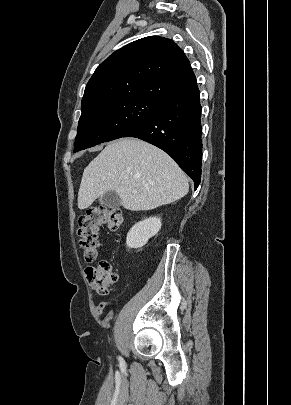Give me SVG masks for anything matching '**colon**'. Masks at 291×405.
Listing matches in <instances>:
<instances>
[{
    "label": "colon",
    "instance_id": "1",
    "mask_svg": "<svg viewBox=\"0 0 291 405\" xmlns=\"http://www.w3.org/2000/svg\"><path fill=\"white\" fill-rule=\"evenodd\" d=\"M123 216L118 209L91 208L78 221L79 245L87 264L85 273L91 288L100 295H106L117 280V274L108 261L93 265L99 257L100 230L105 227L111 232L119 230Z\"/></svg>",
    "mask_w": 291,
    "mask_h": 405
}]
</instances>
